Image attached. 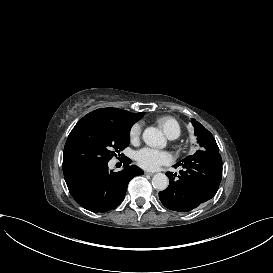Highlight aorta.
I'll return each instance as SVG.
<instances>
[{
    "label": "aorta",
    "mask_w": 273,
    "mask_h": 273,
    "mask_svg": "<svg viewBox=\"0 0 273 273\" xmlns=\"http://www.w3.org/2000/svg\"><path fill=\"white\" fill-rule=\"evenodd\" d=\"M143 141L150 147H164L165 138L161 131L154 127H148L143 132ZM152 185L155 189L163 191L169 185L168 177L163 173H157L152 178Z\"/></svg>",
    "instance_id": "obj_1"
}]
</instances>
